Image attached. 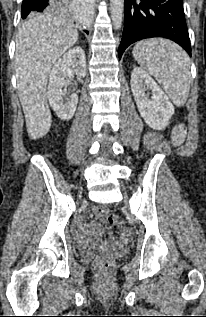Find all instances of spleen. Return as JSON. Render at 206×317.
<instances>
[{
  "instance_id": "spleen-1",
  "label": "spleen",
  "mask_w": 206,
  "mask_h": 317,
  "mask_svg": "<svg viewBox=\"0 0 206 317\" xmlns=\"http://www.w3.org/2000/svg\"><path fill=\"white\" fill-rule=\"evenodd\" d=\"M136 61L153 75L171 101L183 106L190 89V59L175 43L165 39H147L133 48Z\"/></svg>"
}]
</instances>
